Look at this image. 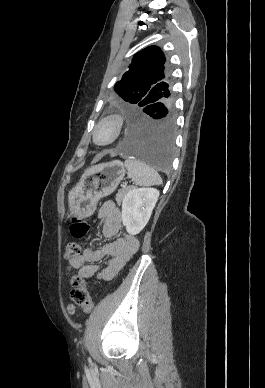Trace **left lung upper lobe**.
<instances>
[{"label": "left lung upper lobe", "instance_id": "5c2ea615", "mask_svg": "<svg viewBox=\"0 0 265 388\" xmlns=\"http://www.w3.org/2000/svg\"><path fill=\"white\" fill-rule=\"evenodd\" d=\"M165 57L157 46L134 55L129 71L115 86L127 110H137L156 103H172L169 75L164 70Z\"/></svg>", "mask_w": 265, "mask_h": 388}]
</instances>
